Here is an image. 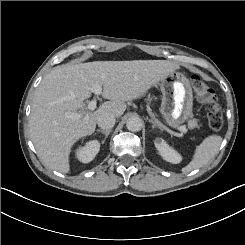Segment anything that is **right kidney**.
Masks as SVG:
<instances>
[{
    "instance_id": "ca27d5eb",
    "label": "right kidney",
    "mask_w": 245,
    "mask_h": 245,
    "mask_svg": "<svg viewBox=\"0 0 245 245\" xmlns=\"http://www.w3.org/2000/svg\"><path fill=\"white\" fill-rule=\"evenodd\" d=\"M99 150L100 143L97 140H92L76 150V157L82 163H89L95 158Z\"/></svg>"
}]
</instances>
